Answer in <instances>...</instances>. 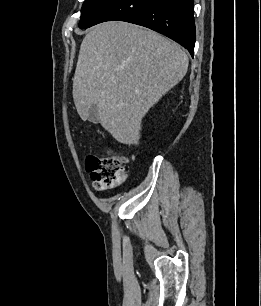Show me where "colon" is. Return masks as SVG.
Returning a JSON list of instances; mask_svg holds the SVG:
<instances>
[{
	"label": "colon",
	"instance_id": "obj_1",
	"mask_svg": "<svg viewBox=\"0 0 261 306\" xmlns=\"http://www.w3.org/2000/svg\"><path fill=\"white\" fill-rule=\"evenodd\" d=\"M127 157L121 153H109L103 157L89 156L86 168L94 188L104 190L126 180Z\"/></svg>",
	"mask_w": 261,
	"mask_h": 306
}]
</instances>
